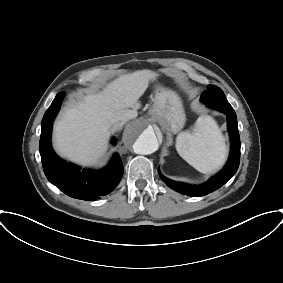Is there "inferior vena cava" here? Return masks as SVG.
<instances>
[{
  "label": "inferior vena cava",
  "instance_id": "inferior-vena-cava-1",
  "mask_svg": "<svg viewBox=\"0 0 283 283\" xmlns=\"http://www.w3.org/2000/svg\"><path fill=\"white\" fill-rule=\"evenodd\" d=\"M123 125H124L123 122H116L110 127V129L111 131H118L122 128Z\"/></svg>",
  "mask_w": 283,
  "mask_h": 283
}]
</instances>
